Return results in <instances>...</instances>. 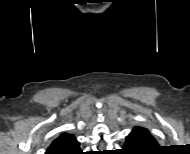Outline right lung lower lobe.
Instances as JSON below:
<instances>
[{"instance_id":"right-lung-lower-lobe-1","label":"right lung lower lobe","mask_w":190,"mask_h":154,"mask_svg":"<svg viewBox=\"0 0 190 154\" xmlns=\"http://www.w3.org/2000/svg\"><path fill=\"white\" fill-rule=\"evenodd\" d=\"M81 153V151H80V149L78 150V151H76V152H71L70 154H80Z\"/></svg>"}]
</instances>
